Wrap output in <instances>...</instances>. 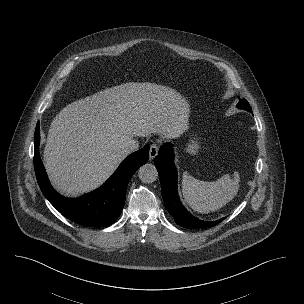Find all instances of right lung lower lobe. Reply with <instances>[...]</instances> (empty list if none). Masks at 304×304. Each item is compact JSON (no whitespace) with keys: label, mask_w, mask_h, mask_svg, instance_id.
<instances>
[{"label":"right lung lower lobe","mask_w":304,"mask_h":304,"mask_svg":"<svg viewBox=\"0 0 304 304\" xmlns=\"http://www.w3.org/2000/svg\"><path fill=\"white\" fill-rule=\"evenodd\" d=\"M39 142L38 122L34 135V167L42 193L62 215L86 227H105L117 220L124 207L129 180L149 158L147 144L128 156L100 188L82 197L70 199L58 194L50 185L39 155Z\"/></svg>","instance_id":"obj_1"}]
</instances>
